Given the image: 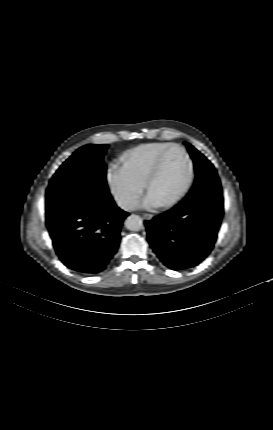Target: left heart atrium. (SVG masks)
<instances>
[{
    "label": "left heart atrium",
    "mask_w": 273,
    "mask_h": 430,
    "mask_svg": "<svg viewBox=\"0 0 273 430\" xmlns=\"http://www.w3.org/2000/svg\"><path fill=\"white\" fill-rule=\"evenodd\" d=\"M161 205L162 203L150 192H148L147 196L142 202V206L147 208L158 207Z\"/></svg>",
    "instance_id": "1"
}]
</instances>
